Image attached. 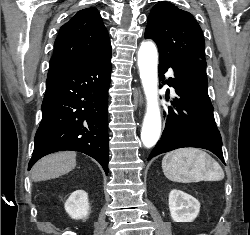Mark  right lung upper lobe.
<instances>
[{"label": "right lung upper lobe", "mask_w": 250, "mask_h": 235, "mask_svg": "<svg viewBox=\"0 0 250 235\" xmlns=\"http://www.w3.org/2000/svg\"><path fill=\"white\" fill-rule=\"evenodd\" d=\"M111 48L96 8H86L65 23L54 43L49 72L78 67Z\"/></svg>", "instance_id": "1"}]
</instances>
